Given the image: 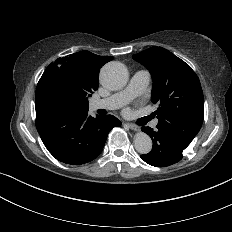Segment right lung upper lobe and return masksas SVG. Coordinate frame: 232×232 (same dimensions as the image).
<instances>
[{"instance_id": "cb5924a9", "label": "right lung upper lobe", "mask_w": 232, "mask_h": 232, "mask_svg": "<svg viewBox=\"0 0 232 232\" xmlns=\"http://www.w3.org/2000/svg\"><path fill=\"white\" fill-rule=\"evenodd\" d=\"M113 59L112 56H99L89 51H81L70 56L58 58L51 66L70 74L76 80L91 88L98 89L99 69ZM42 97L36 93L35 101Z\"/></svg>"}]
</instances>
